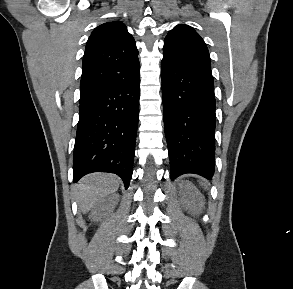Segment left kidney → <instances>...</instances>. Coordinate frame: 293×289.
<instances>
[{"instance_id": "left-kidney-1", "label": "left kidney", "mask_w": 293, "mask_h": 289, "mask_svg": "<svg viewBox=\"0 0 293 289\" xmlns=\"http://www.w3.org/2000/svg\"><path fill=\"white\" fill-rule=\"evenodd\" d=\"M180 187L181 188H184L185 190L187 191H190L192 192L193 194V198H194V208L196 211H200L201 208L203 207L204 205V198L203 196L200 194V192L191 184L189 183H186V182H182L180 184Z\"/></svg>"}]
</instances>
